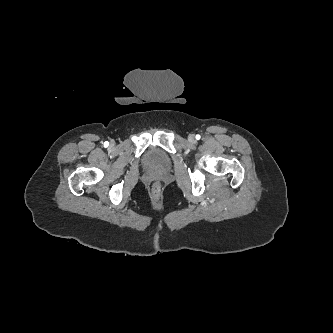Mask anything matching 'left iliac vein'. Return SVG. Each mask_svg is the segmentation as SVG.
Instances as JSON below:
<instances>
[{"mask_svg":"<svg viewBox=\"0 0 333 333\" xmlns=\"http://www.w3.org/2000/svg\"><path fill=\"white\" fill-rule=\"evenodd\" d=\"M188 140H189L191 143H196L195 135H194V134H190L189 137H188Z\"/></svg>","mask_w":333,"mask_h":333,"instance_id":"4c4485c4","label":"left iliac vein"}]
</instances>
